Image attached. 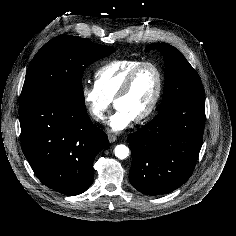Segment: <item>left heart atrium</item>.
Returning a JSON list of instances; mask_svg holds the SVG:
<instances>
[{
  "label": "left heart atrium",
  "instance_id": "obj_1",
  "mask_svg": "<svg viewBox=\"0 0 236 236\" xmlns=\"http://www.w3.org/2000/svg\"><path fill=\"white\" fill-rule=\"evenodd\" d=\"M134 118L122 108H116L108 120V127L113 132H120L126 129Z\"/></svg>",
  "mask_w": 236,
  "mask_h": 236
}]
</instances>
